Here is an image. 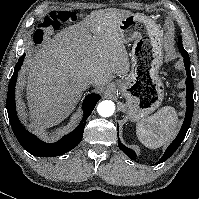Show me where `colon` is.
Masks as SVG:
<instances>
[{"instance_id": "5ec220e1", "label": "colon", "mask_w": 199, "mask_h": 199, "mask_svg": "<svg viewBox=\"0 0 199 199\" xmlns=\"http://www.w3.org/2000/svg\"><path fill=\"white\" fill-rule=\"evenodd\" d=\"M73 20V13L70 11H52L48 13L41 22L37 35H42L45 30L57 29L64 23Z\"/></svg>"}]
</instances>
